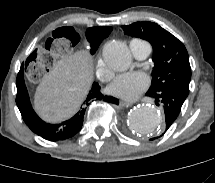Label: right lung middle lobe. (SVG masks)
Listing matches in <instances>:
<instances>
[{
    "mask_svg": "<svg viewBox=\"0 0 215 183\" xmlns=\"http://www.w3.org/2000/svg\"><path fill=\"white\" fill-rule=\"evenodd\" d=\"M67 32H68V37L72 42L77 43L79 41L80 39L79 35L76 34L73 30L69 29L67 30ZM86 38L90 43V46H91L90 52L93 55L96 52L101 41L106 37L102 33L95 30L94 28H89L86 32Z\"/></svg>",
    "mask_w": 215,
    "mask_h": 183,
    "instance_id": "dd1d6c3e",
    "label": "right lung middle lobe"
}]
</instances>
